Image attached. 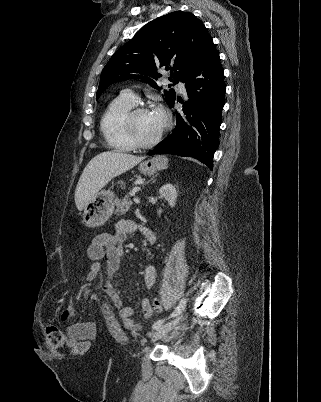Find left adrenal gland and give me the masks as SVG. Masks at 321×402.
Returning <instances> with one entry per match:
<instances>
[{
  "label": "left adrenal gland",
  "instance_id": "1",
  "mask_svg": "<svg viewBox=\"0 0 321 402\" xmlns=\"http://www.w3.org/2000/svg\"><path fill=\"white\" fill-rule=\"evenodd\" d=\"M156 176H157V175L153 176V177L148 181V183H149L150 181H152Z\"/></svg>",
  "mask_w": 321,
  "mask_h": 402
}]
</instances>
